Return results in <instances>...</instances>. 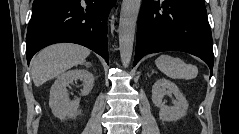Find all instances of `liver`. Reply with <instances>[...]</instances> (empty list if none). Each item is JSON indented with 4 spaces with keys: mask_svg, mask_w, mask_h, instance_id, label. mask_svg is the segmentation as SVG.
<instances>
[{
    "mask_svg": "<svg viewBox=\"0 0 239 134\" xmlns=\"http://www.w3.org/2000/svg\"><path fill=\"white\" fill-rule=\"evenodd\" d=\"M89 54L88 48L70 43L44 48L31 61V75L35 86L42 85L73 66L83 64Z\"/></svg>",
    "mask_w": 239,
    "mask_h": 134,
    "instance_id": "obj_1",
    "label": "liver"
}]
</instances>
